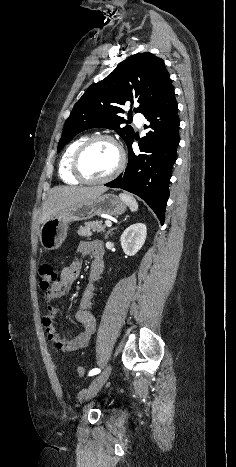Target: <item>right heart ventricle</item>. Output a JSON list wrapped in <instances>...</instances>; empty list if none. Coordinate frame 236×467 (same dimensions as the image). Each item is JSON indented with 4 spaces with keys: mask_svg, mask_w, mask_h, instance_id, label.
Instances as JSON below:
<instances>
[{
    "mask_svg": "<svg viewBox=\"0 0 236 467\" xmlns=\"http://www.w3.org/2000/svg\"><path fill=\"white\" fill-rule=\"evenodd\" d=\"M87 138L86 136H82L74 140L67 146L60 158L58 167L59 176L67 184L73 185L80 182L71 172V162L75 151Z\"/></svg>",
    "mask_w": 236,
    "mask_h": 467,
    "instance_id": "1",
    "label": "right heart ventricle"
}]
</instances>
